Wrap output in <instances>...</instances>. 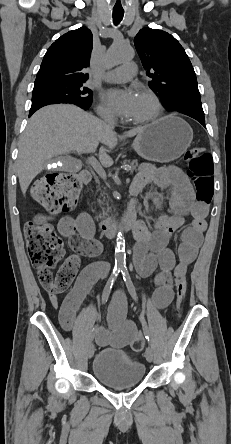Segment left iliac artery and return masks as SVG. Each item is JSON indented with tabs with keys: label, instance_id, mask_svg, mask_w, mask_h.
Segmentation results:
<instances>
[{
	"label": "left iliac artery",
	"instance_id": "44dca946",
	"mask_svg": "<svg viewBox=\"0 0 231 444\" xmlns=\"http://www.w3.org/2000/svg\"><path fill=\"white\" fill-rule=\"evenodd\" d=\"M121 272H122L123 279H124V281L126 283V286H127V289L129 291L130 295L133 297V299L135 301H137V295H136L135 287H134L133 282H132V280H131L128 272H127L126 267L125 268L123 267L121 269ZM140 320H141V323H142V327H143L145 338L148 341V343L150 344V341H151L150 333H149V330H148V327H147V324H146V321H145V318H144L143 315L140 316Z\"/></svg>",
	"mask_w": 231,
	"mask_h": 444
}]
</instances>
